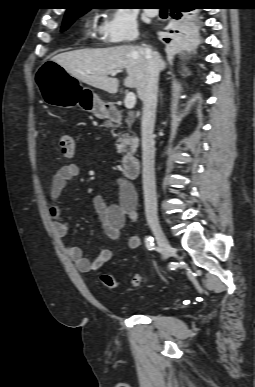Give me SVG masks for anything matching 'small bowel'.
Wrapping results in <instances>:
<instances>
[{"mask_svg":"<svg viewBox=\"0 0 255 387\" xmlns=\"http://www.w3.org/2000/svg\"><path fill=\"white\" fill-rule=\"evenodd\" d=\"M79 174V166L75 163H68L60 167L51 179L49 190L52 202L50 215L54 232L60 238L68 234L70 224L63 217L62 211L56 202L61 197L68 182L76 179ZM92 204L99 217L103 233L107 238L115 242L120 243L121 230L126 220L131 222L138 220L136 192L134 187L127 182H119V198L116 204L108 203L101 195H95L92 198ZM140 244V238L133 235L127 239L125 247L127 249H137ZM64 249L68 257L74 262L76 268L82 273L99 270L114 256L112 249H103L94 260H90L83 255L81 248L74 244H65Z\"/></svg>","mask_w":255,"mask_h":387,"instance_id":"obj_1","label":"small bowel"}]
</instances>
